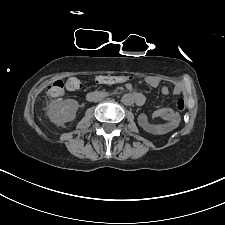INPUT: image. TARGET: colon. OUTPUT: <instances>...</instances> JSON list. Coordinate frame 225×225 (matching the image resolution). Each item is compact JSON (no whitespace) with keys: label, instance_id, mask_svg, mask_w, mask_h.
<instances>
[{"label":"colon","instance_id":"5ec220e1","mask_svg":"<svg viewBox=\"0 0 225 225\" xmlns=\"http://www.w3.org/2000/svg\"><path fill=\"white\" fill-rule=\"evenodd\" d=\"M131 79L128 76L99 75L95 78L97 84H116ZM81 88V82L77 78H69L66 83L61 80L55 81L47 88V94L51 97L62 95L64 89L69 92L77 91ZM177 109L183 111L186 108V102L183 98L177 100Z\"/></svg>","mask_w":225,"mask_h":225}]
</instances>
